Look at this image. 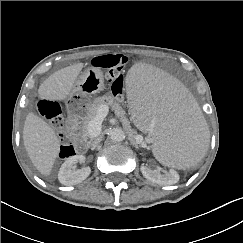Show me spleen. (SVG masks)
Returning a JSON list of instances; mask_svg holds the SVG:
<instances>
[{
    "label": "spleen",
    "instance_id": "spleen-1",
    "mask_svg": "<svg viewBox=\"0 0 243 243\" xmlns=\"http://www.w3.org/2000/svg\"><path fill=\"white\" fill-rule=\"evenodd\" d=\"M130 112L159 162L188 171L205 156L209 130L191 93L168 74L147 65L126 75Z\"/></svg>",
    "mask_w": 243,
    "mask_h": 243
}]
</instances>
